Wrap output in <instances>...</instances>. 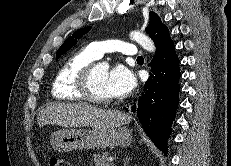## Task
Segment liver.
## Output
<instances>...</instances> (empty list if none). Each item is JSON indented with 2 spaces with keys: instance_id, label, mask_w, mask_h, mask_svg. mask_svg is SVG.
<instances>
[{
  "instance_id": "1",
  "label": "liver",
  "mask_w": 231,
  "mask_h": 166,
  "mask_svg": "<svg viewBox=\"0 0 231 166\" xmlns=\"http://www.w3.org/2000/svg\"><path fill=\"white\" fill-rule=\"evenodd\" d=\"M131 116L118 110H105L84 103H54L37 115L40 127L53 124L62 127L90 126L106 130L128 123Z\"/></svg>"
}]
</instances>
